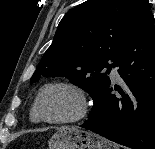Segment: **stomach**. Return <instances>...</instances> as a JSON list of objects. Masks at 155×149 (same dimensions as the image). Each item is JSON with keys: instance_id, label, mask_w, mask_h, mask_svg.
<instances>
[{"instance_id": "0dacf381", "label": "stomach", "mask_w": 155, "mask_h": 149, "mask_svg": "<svg viewBox=\"0 0 155 149\" xmlns=\"http://www.w3.org/2000/svg\"><path fill=\"white\" fill-rule=\"evenodd\" d=\"M49 149H118L107 139L77 127L59 128L49 141Z\"/></svg>"}]
</instances>
